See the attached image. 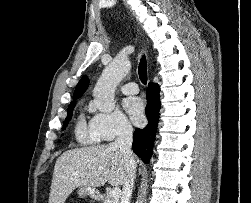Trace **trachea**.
<instances>
[{
	"label": "trachea",
	"instance_id": "trachea-1",
	"mask_svg": "<svg viewBox=\"0 0 251 203\" xmlns=\"http://www.w3.org/2000/svg\"><path fill=\"white\" fill-rule=\"evenodd\" d=\"M138 73L141 82L145 85L147 83V62L145 56H142L140 63H139V68H138Z\"/></svg>",
	"mask_w": 251,
	"mask_h": 203
}]
</instances>
